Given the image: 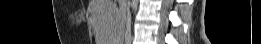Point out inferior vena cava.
Segmentation results:
<instances>
[{"mask_svg": "<svg viewBox=\"0 0 261 44\" xmlns=\"http://www.w3.org/2000/svg\"><path fill=\"white\" fill-rule=\"evenodd\" d=\"M131 37V23L129 18V11L127 12V21H126V29H125V41H129Z\"/></svg>", "mask_w": 261, "mask_h": 44, "instance_id": "obj_1", "label": "inferior vena cava"}]
</instances>
